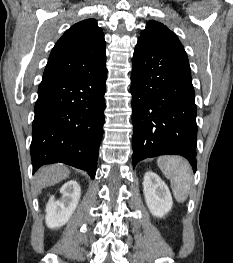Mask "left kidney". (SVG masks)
<instances>
[{
  "label": "left kidney",
  "mask_w": 233,
  "mask_h": 263,
  "mask_svg": "<svg viewBox=\"0 0 233 263\" xmlns=\"http://www.w3.org/2000/svg\"><path fill=\"white\" fill-rule=\"evenodd\" d=\"M143 192L147 207L153 216L162 218L171 210L173 201L169 188L154 172L145 173Z\"/></svg>",
  "instance_id": "1"
}]
</instances>
